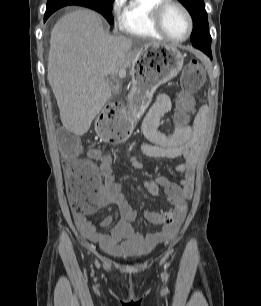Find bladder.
<instances>
[{"label": "bladder", "mask_w": 261, "mask_h": 306, "mask_svg": "<svg viewBox=\"0 0 261 306\" xmlns=\"http://www.w3.org/2000/svg\"><path fill=\"white\" fill-rule=\"evenodd\" d=\"M121 256L128 261H138L143 258L141 255L136 253H125Z\"/></svg>", "instance_id": "1"}]
</instances>
